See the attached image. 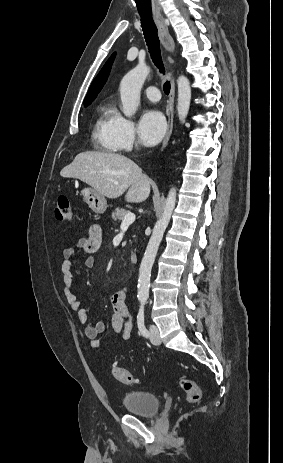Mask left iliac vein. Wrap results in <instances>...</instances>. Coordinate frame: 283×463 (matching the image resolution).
<instances>
[{
    "mask_svg": "<svg viewBox=\"0 0 283 463\" xmlns=\"http://www.w3.org/2000/svg\"><path fill=\"white\" fill-rule=\"evenodd\" d=\"M150 340L154 345H159L161 343L159 330L155 325H150Z\"/></svg>",
    "mask_w": 283,
    "mask_h": 463,
    "instance_id": "left-iliac-vein-1",
    "label": "left iliac vein"
}]
</instances>
